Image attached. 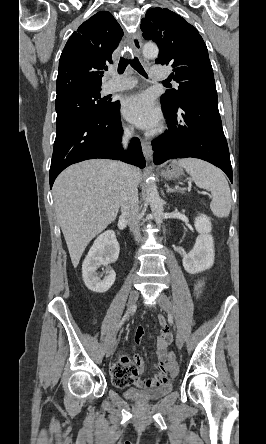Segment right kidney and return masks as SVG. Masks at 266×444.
I'll list each match as a JSON object with an SVG mask.
<instances>
[{"label":"right kidney","instance_id":"right-kidney-1","mask_svg":"<svg viewBox=\"0 0 266 444\" xmlns=\"http://www.w3.org/2000/svg\"><path fill=\"white\" fill-rule=\"evenodd\" d=\"M119 244L114 231L108 230L97 237L82 265V277L88 289L97 293H104L111 288L116 279L114 270H109L100 280L97 269L115 262L119 256Z\"/></svg>","mask_w":266,"mask_h":444}]
</instances>
